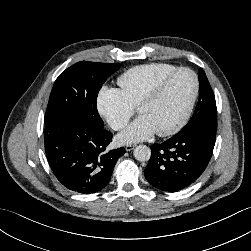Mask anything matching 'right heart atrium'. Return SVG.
Segmentation results:
<instances>
[{
  "label": "right heart atrium",
  "mask_w": 251,
  "mask_h": 251,
  "mask_svg": "<svg viewBox=\"0 0 251 251\" xmlns=\"http://www.w3.org/2000/svg\"><path fill=\"white\" fill-rule=\"evenodd\" d=\"M96 106L99 114L116 131L122 130L133 114V108L122 92L112 87H103L100 90Z\"/></svg>",
  "instance_id": "right-heart-atrium-1"
}]
</instances>
